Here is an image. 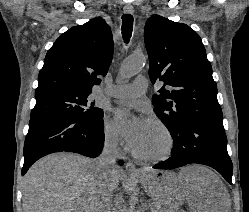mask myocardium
<instances>
[{"instance_id":"1","label":"myocardium","mask_w":249,"mask_h":212,"mask_svg":"<svg viewBox=\"0 0 249 212\" xmlns=\"http://www.w3.org/2000/svg\"><path fill=\"white\" fill-rule=\"evenodd\" d=\"M147 122L153 123L161 129V131L163 132V134L165 135V137L167 139V148H166L165 152H163L162 154H159V155L143 156V155H140V154H137L136 152H134L132 154L133 157L138 161L146 162V163L160 162V161H165V160L169 159L174 154V151L176 148V140H175V137H174L172 131L166 125V123H164L161 119H159L157 117H149V118H147Z\"/></svg>"}]
</instances>
